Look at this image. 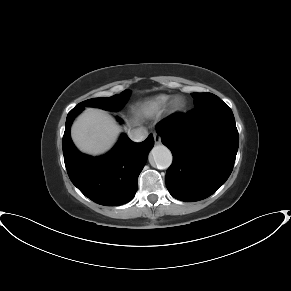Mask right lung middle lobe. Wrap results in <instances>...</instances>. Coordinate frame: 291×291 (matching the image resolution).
Returning <instances> with one entry per match:
<instances>
[{
  "label": "right lung middle lobe",
  "mask_w": 291,
  "mask_h": 291,
  "mask_svg": "<svg viewBox=\"0 0 291 291\" xmlns=\"http://www.w3.org/2000/svg\"><path fill=\"white\" fill-rule=\"evenodd\" d=\"M130 95L129 90L123 91L119 95L106 98H92L79 103L75 108L98 107L110 111H118L126 104Z\"/></svg>",
  "instance_id": "right-lung-middle-lobe-1"
}]
</instances>
